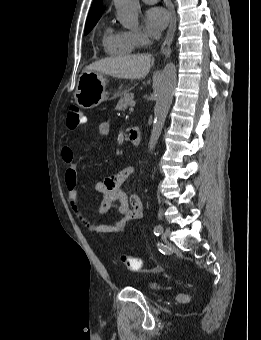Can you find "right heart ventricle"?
Instances as JSON below:
<instances>
[{
    "label": "right heart ventricle",
    "instance_id": "right-heart-ventricle-1",
    "mask_svg": "<svg viewBox=\"0 0 261 340\" xmlns=\"http://www.w3.org/2000/svg\"><path fill=\"white\" fill-rule=\"evenodd\" d=\"M102 45L104 51L113 56H126L138 47L129 32L114 30L107 27L103 33Z\"/></svg>",
    "mask_w": 261,
    "mask_h": 340
}]
</instances>
